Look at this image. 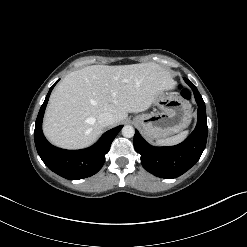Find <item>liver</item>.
<instances>
[{
  "label": "liver",
  "mask_w": 247,
  "mask_h": 247,
  "mask_svg": "<svg viewBox=\"0 0 247 247\" xmlns=\"http://www.w3.org/2000/svg\"><path fill=\"white\" fill-rule=\"evenodd\" d=\"M173 88L168 74L154 63L87 66L66 75L52 92L44 134L62 148L87 147L102 133L100 114L111 113L118 124L128 113L147 110L160 91Z\"/></svg>",
  "instance_id": "obj_1"
}]
</instances>
